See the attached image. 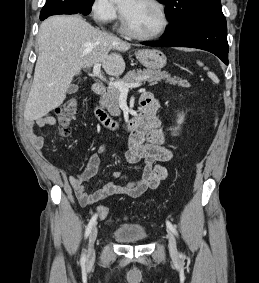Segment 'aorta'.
Segmentation results:
<instances>
[{
	"mask_svg": "<svg viewBox=\"0 0 259 283\" xmlns=\"http://www.w3.org/2000/svg\"><path fill=\"white\" fill-rule=\"evenodd\" d=\"M112 2H119L120 0H111Z\"/></svg>",
	"mask_w": 259,
	"mask_h": 283,
	"instance_id": "obj_1",
	"label": "aorta"
}]
</instances>
